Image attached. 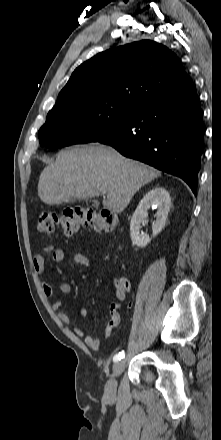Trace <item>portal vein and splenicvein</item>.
<instances>
[{"instance_id": "1", "label": "portal vein and splenic vein", "mask_w": 221, "mask_h": 440, "mask_svg": "<svg viewBox=\"0 0 221 440\" xmlns=\"http://www.w3.org/2000/svg\"><path fill=\"white\" fill-rule=\"evenodd\" d=\"M102 193H103V194H106V192H105V191H102Z\"/></svg>"}]
</instances>
